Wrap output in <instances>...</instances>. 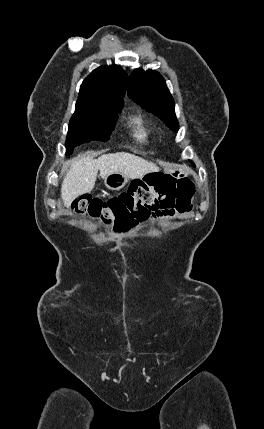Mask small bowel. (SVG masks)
Returning a JSON list of instances; mask_svg holds the SVG:
<instances>
[{"label":"small bowel","instance_id":"c3829d8e","mask_svg":"<svg viewBox=\"0 0 264 429\" xmlns=\"http://www.w3.org/2000/svg\"><path fill=\"white\" fill-rule=\"evenodd\" d=\"M181 213L178 212H164V213H158L154 215L155 219H170L179 216Z\"/></svg>","mask_w":264,"mask_h":429}]
</instances>
